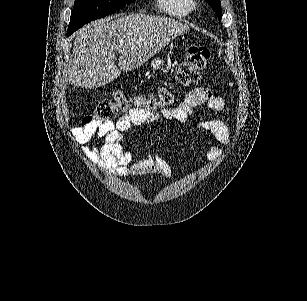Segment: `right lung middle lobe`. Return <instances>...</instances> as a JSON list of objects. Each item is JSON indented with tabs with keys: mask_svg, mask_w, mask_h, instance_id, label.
<instances>
[{
	"mask_svg": "<svg viewBox=\"0 0 307 301\" xmlns=\"http://www.w3.org/2000/svg\"><path fill=\"white\" fill-rule=\"evenodd\" d=\"M135 0H75L67 36L89 21L105 17Z\"/></svg>",
	"mask_w": 307,
	"mask_h": 301,
	"instance_id": "1",
	"label": "right lung middle lobe"
}]
</instances>
